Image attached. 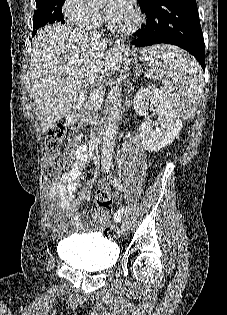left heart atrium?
<instances>
[{
	"mask_svg": "<svg viewBox=\"0 0 227 315\" xmlns=\"http://www.w3.org/2000/svg\"><path fill=\"white\" fill-rule=\"evenodd\" d=\"M132 0H109L105 13L109 20H114L132 13Z\"/></svg>",
	"mask_w": 227,
	"mask_h": 315,
	"instance_id": "obj_1",
	"label": "left heart atrium"
}]
</instances>
